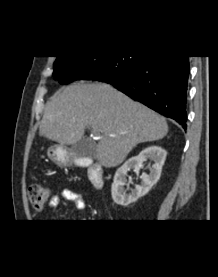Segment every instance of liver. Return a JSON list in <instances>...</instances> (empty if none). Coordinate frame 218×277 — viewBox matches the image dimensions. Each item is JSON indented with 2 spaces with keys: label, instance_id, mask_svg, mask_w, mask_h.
Listing matches in <instances>:
<instances>
[{
  "label": "liver",
  "instance_id": "1",
  "mask_svg": "<svg viewBox=\"0 0 218 277\" xmlns=\"http://www.w3.org/2000/svg\"><path fill=\"white\" fill-rule=\"evenodd\" d=\"M91 127L100 141L94 159L105 167L121 164L139 143L168 133L164 117L106 83H76L59 89L47 103L40 133L61 146L73 145Z\"/></svg>",
  "mask_w": 218,
  "mask_h": 277
}]
</instances>
